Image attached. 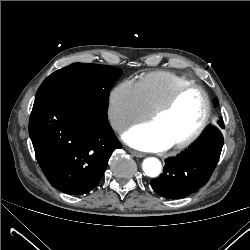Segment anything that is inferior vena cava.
<instances>
[{"mask_svg": "<svg viewBox=\"0 0 250 250\" xmlns=\"http://www.w3.org/2000/svg\"><path fill=\"white\" fill-rule=\"evenodd\" d=\"M126 126H127V124L124 121L112 122V127L117 131L124 129Z\"/></svg>", "mask_w": 250, "mask_h": 250, "instance_id": "1", "label": "inferior vena cava"}]
</instances>
